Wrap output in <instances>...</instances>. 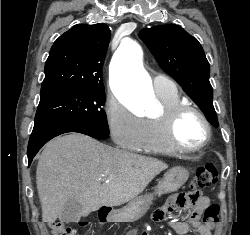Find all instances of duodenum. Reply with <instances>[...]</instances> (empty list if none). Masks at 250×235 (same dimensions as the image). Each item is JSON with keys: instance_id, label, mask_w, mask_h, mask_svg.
<instances>
[{"instance_id": "410a0bca", "label": "duodenum", "mask_w": 250, "mask_h": 235, "mask_svg": "<svg viewBox=\"0 0 250 235\" xmlns=\"http://www.w3.org/2000/svg\"><path fill=\"white\" fill-rule=\"evenodd\" d=\"M100 215H101L100 216L101 222L106 223V222H108L111 213L109 210H101Z\"/></svg>"}]
</instances>
